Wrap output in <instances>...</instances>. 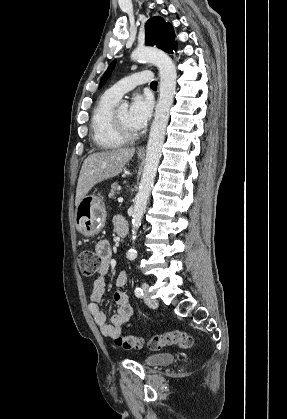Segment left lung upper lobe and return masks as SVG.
<instances>
[{
  "mask_svg": "<svg viewBox=\"0 0 287 419\" xmlns=\"http://www.w3.org/2000/svg\"><path fill=\"white\" fill-rule=\"evenodd\" d=\"M145 44L148 46H156L167 53H173V50H176L177 43L175 41V33L172 25L168 22L166 23L164 19L159 16L150 18L145 24ZM115 65L116 60L110 64L103 75L99 88H101L111 76Z\"/></svg>",
  "mask_w": 287,
  "mask_h": 419,
  "instance_id": "left-lung-upper-lobe-1",
  "label": "left lung upper lobe"
}]
</instances>
